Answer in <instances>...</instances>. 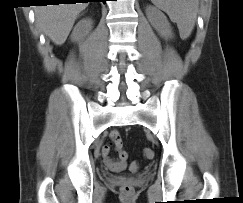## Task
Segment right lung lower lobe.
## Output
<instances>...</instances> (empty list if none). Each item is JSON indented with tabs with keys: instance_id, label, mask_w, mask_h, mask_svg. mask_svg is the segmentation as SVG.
<instances>
[{
	"instance_id": "right-lung-lower-lobe-1",
	"label": "right lung lower lobe",
	"mask_w": 243,
	"mask_h": 203,
	"mask_svg": "<svg viewBox=\"0 0 243 203\" xmlns=\"http://www.w3.org/2000/svg\"><path fill=\"white\" fill-rule=\"evenodd\" d=\"M46 1H52V0H40V2L36 5H46ZM54 1V0H53ZM60 2H50V3H76L77 1H80V0H59ZM81 1H86L85 3H88V1H91V2H103L105 3L106 0H81Z\"/></svg>"
}]
</instances>
